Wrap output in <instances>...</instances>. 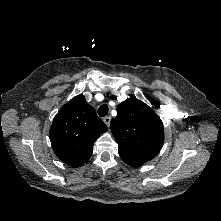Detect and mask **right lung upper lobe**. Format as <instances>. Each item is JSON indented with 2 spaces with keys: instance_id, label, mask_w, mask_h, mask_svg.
I'll use <instances>...</instances> for the list:
<instances>
[{
  "instance_id": "cb5924a9",
  "label": "right lung upper lobe",
  "mask_w": 221,
  "mask_h": 221,
  "mask_svg": "<svg viewBox=\"0 0 221 221\" xmlns=\"http://www.w3.org/2000/svg\"><path fill=\"white\" fill-rule=\"evenodd\" d=\"M107 126L80 94L65 104L55 116L50 141L57 157L65 164L80 167L92 155L96 139Z\"/></svg>"
}]
</instances>
